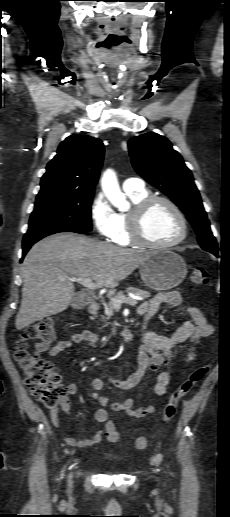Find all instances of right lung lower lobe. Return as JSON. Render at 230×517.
Masks as SVG:
<instances>
[{"label": "right lung lower lobe", "mask_w": 230, "mask_h": 517, "mask_svg": "<svg viewBox=\"0 0 230 517\" xmlns=\"http://www.w3.org/2000/svg\"><path fill=\"white\" fill-rule=\"evenodd\" d=\"M58 232H75V233H80V234L87 233V231L74 229V228L66 227V226H56V227L46 228V229H42V230L27 232L23 239L22 259L24 258L25 254L28 252V250L31 248V246L34 243H36L37 241H39L40 239H42L48 235L58 233ZM22 259H21V261H22Z\"/></svg>", "instance_id": "obj_1"}]
</instances>
